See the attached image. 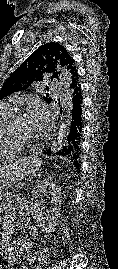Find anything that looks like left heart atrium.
<instances>
[{
    "label": "left heart atrium",
    "instance_id": "obj_1",
    "mask_svg": "<svg viewBox=\"0 0 118 269\" xmlns=\"http://www.w3.org/2000/svg\"><path fill=\"white\" fill-rule=\"evenodd\" d=\"M27 116L32 123L35 135L41 136L47 131L49 115L43 105L38 103L30 105Z\"/></svg>",
    "mask_w": 118,
    "mask_h": 269
}]
</instances>
